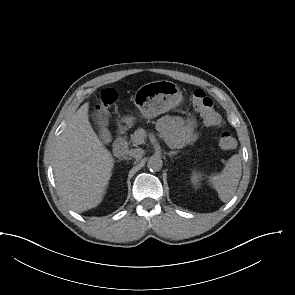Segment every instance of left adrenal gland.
I'll use <instances>...</instances> for the list:
<instances>
[{"instance_id":"1","label":"left adrenal gland","mask_w":295,"mask_h":295,"mask_svg":"<svg viewBox=\"0 0 295 295\" xmlns=\"http://www.w3.org/2000/svg\"><path fill=\"white\" fill-rule=\"evenodd\" d=\"M179 151H170L167 153L168 156L172 157L173 155H176Z\"/></svg>"}]
</instances>
